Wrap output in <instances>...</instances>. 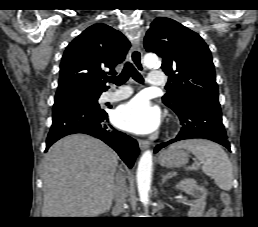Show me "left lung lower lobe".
Segmentation results:
<instances>
[{
    "mask_svg": "<svg viewBox=\"0 0 258 227\" xmlns=\"http://www.w3.org/2000/svg\"><path fill=\"white\" fill-rule=\"evenodd\" d=\"M175 112L180 118L182 129L175 139L157 145L155 153L171 143L192 138L209 139L230 150L218 101L197 100Z\"/></svg>",
    "mask_w": 258,
    "mask_h": 227,
    "instance_id": "left-lung-lower-lobe-1",
    "label": "left lung lower lobe"
}]
</instances>
